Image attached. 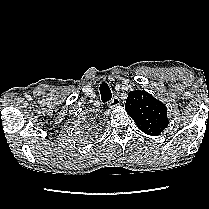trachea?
<instances>
[{
    "instance_id": "3493384b",
    "label": "trachea",
    "mask_w": 209,
    "mask_h": 209,
    "mask_svg": "<svg viewBox=\"0 0 209 209\" xmlns=\"http://www.w3.org/2000/svg\"><path fill=\"white\" fill-rule=\"evenodd\" d=\"M99 90H100V94H101V100L103 103H106L111 100L112 93H111V90H110L107 83L102 82L100 84Z\"/></svg>"
}]
</instances>
